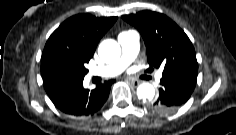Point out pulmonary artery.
Masks as SVG:
<instances>
[{"mask_svg":"<svg viewBox=\"0 0 236 135\" xmlns=\"http://www.w3.org/2000/svg\"><path fill=\"white\" fill-rule=\"evenodd\" d=\"M118 41L122 47L121 57L102 67H96L90 69V75L111 77L121 74L128 65L134 60L139 50V36L136 32H122L118 36ZM162 74L159 73L156 77L157 81H160Z\"/></svg>","mask_w":236,"mask_h":135,"instance_id":"1","label":"pulmonary artery"}]
</instances>
